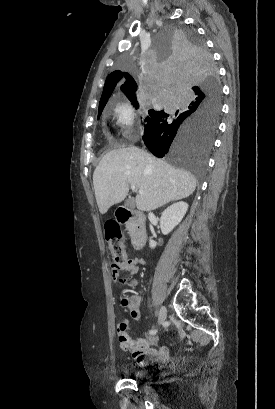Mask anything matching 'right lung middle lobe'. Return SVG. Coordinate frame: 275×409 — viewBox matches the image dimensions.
<instances>
[{"label":"right lung middle lobe","mask_w":275,"mask_h":409,"mask_svg":"<svg viewBox=\"0 0 275 409\" xmlns=\"http://www.w3.org/2000/svg\"><path fill=\"white\" fill-rule=\"evenodd\" d=\"M149 42L150 50H131L130 57H119L114 73H137L134 59H151L152 51H170L169 57L159 59L161 70H152L147 90L194 92L129 99L134 107L146 105L149 110L143 140L159 161L183 167L185 173H195L199 182H206V160L221 113V84L212 56L192 24H168L167 30H155Z\"/></svg>","instance_id":"right-lung-middle-lobe-1"}]
</instances>
